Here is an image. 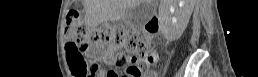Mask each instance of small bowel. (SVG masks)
I'll return each mask as SVG.
<instances>
[{
	"mask_svg": "<svg viewBox=\"0 0 258 77\" xmlns=\"http://www.w3.org/2000/svg\"><path fill=\"white\" fill-rule=\"evenodd\" d=\"M90 54H91L90 59L92 60L94 58V54L92 52ZM121 60H123V55L121 53H118V52L110 51L106 56V62L109 65H116ZM107 75H108L107 77H115L114 72H110Z\"/></svg>",
	"mask_w": 258,
	"mask_h": 77,
	"instance_id": "1",
	"label": "small bowel"
}]
</instances>
